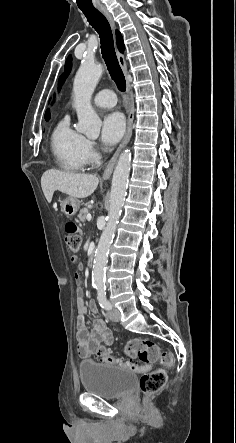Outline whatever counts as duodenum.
Segmentation results:
<instances>
[{"label": "duodenum", "mask_w": 236, "mask_h": 443, "mask_svg": "<svg viewBox=\"0 0 236 443\" xmlns=\"http://www.w3.org/2000/svg\"><path fill=\"white\" fill-rule=\"evenodd\" d=\"M94 259H95V254L94 253H90L89 256H88V259H87L88 266L91 267L93 265Z\"/></svg>", "instance_id": "duodenum-1"}]
</instances>
